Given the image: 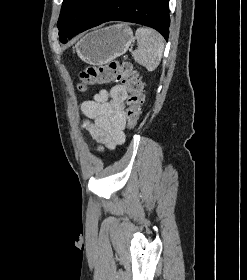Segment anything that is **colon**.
I'll list each match as a JSON object with an SVG mask.
<instances>
[{
  "label": "colon",
  "mask_w": 247,
  "mask_h": 280,
  "mask_svg": "<svg viewBox=\"0 0 247 280\" xmlns=\"http://www.w3.org/2000/svg\"><path fill=\"white\" fill-rule=\"evenodd\" d=\"M80 90L88 86L120 81L128 92L125 118L129 128L137 125L144 101V84L130 62L110 61L106 64L89 67L80 73Z\"/></svg>",
  "instance_id": "colon-1"
}]
</instances>
